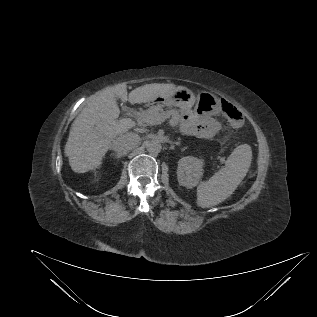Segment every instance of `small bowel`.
I'll use <instances>...</instances> for the list:
<instances>
[{
	"instance_id": "obj_1",
	"label": "small bowel",
	"mask_w": 317,
	"mask_h": 317,
	"mask_svg": "<svg viewBox=\"0 0 317 317\" xmlns=\"http://www.w3.org/2000/svg\"><path fill=\"white\" fill-rule=\"evenodd\" d=\"M180 123L182 131L189 136L198 138H210L220 130V122L213 116H204L200 120L190 117H176Z\"/></svg>"
}]
</instances>
